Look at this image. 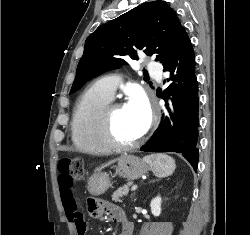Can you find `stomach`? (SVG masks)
<instances>
[{"label":"stomach","instance_id":"obj_1","mask_svg":"<svg viewBox=\"0 0 250 235\" xmlns=\"http://www.w3.org/2000/svg\"><path fill=\"white\" fill-rule=\"evenodd\" d=\"M148 170L145 161L134 155L125 154L118 160L116 174L127 179L136 180ZM111 186L110 177L107 173H96L88 182V191L91 195L104 194Z\"/></svg>","mask_w":250,"mask_h":235}]
</instances>
